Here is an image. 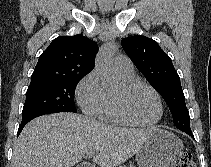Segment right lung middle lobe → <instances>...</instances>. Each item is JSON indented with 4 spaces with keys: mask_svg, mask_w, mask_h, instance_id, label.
<instances>
[{
    "mask_svg": "<svg viewBox=\"0 0 211 167\" xmlns=\"http://www.w3.org/2000/svg\"><path fill=\"white\" fill-rule=\"evenodd\" d=\"M82 78L31 82L26 93L22 121L48 113L77 112L74 94Z\"/></svg>",
    "mask_w": 211,
    "mask_h": 167,
    "instance_id": "dd1d6c3e",
    "label": "right lung middle lobe"
}]
</instances>
